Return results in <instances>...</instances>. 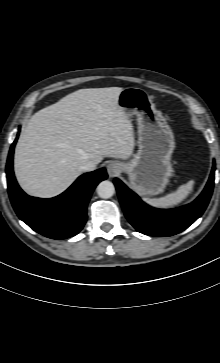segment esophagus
I'll return each instance as SVG.
<instances>
[{
  "label": "esophagus",
  "mask_w": 220,
  "mask_h": 363,
  "mask_svg": "<svg viewBox=\"0 0 220 363\" xmlns=\"http://www.w3.org/2000/svg\"><path fill=\"white\" fill-rule=\"evenodd\" d=\"M107 172L110 177H115L120 173V166L117 163L111 162L107 165Z\"/></svg>",
  "instance_id": "esophagus-1"
}]
</instances>
